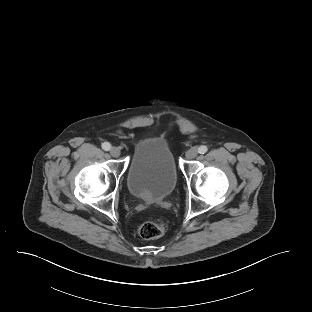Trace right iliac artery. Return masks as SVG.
<instances>
[{
    "mask_svg": "<svg viewBox=\"0 0 312 312\" xmlns=\"http://www.w3.org/2000/svg\"><path fill=\"white\" fill-rule=\"evenodd\" d=\"M110 148H111V144H110V143L104 142V143L102 144V149H103V150L108 151V150H110Z\"/></svg>",
    "mask_w": 312,
    "mask_h": 312,
    "instance_id": "obj_1",
    "label": "right iliac artery"
}]
</instances>
